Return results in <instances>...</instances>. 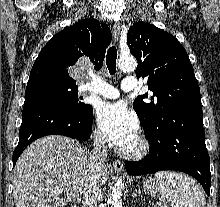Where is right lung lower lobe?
Here are the masks:
<instances>
[{
  "label": "right lung lower lobe",
  "instance_id": "obj_1",
  "mask_svg": "<svg viewBox=\"0 0 220 207\" xmlns=\"http://www.w3.org/2000/svg\"><path fill=\"white\" fill-rule=\"evenodd\" d=\"M93 109L75 111L46 94L25 96L20 138L13 152V167L23 150L34 140L47 135H63L80 141L92 132Z\"/></svg>",
  "mask_w": 220,
  "mask_h": 207
}]
</instances>
